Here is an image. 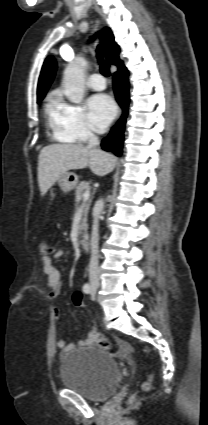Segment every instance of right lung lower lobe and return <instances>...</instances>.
I'll return each instance as SVG.
<instances>
[{
	"mask_svg": "<svg viewBox=\"0 0 208 425\" xmlns=\"http://www.w3.org/2000/svg\"><path fill=\"white\" fill-rule=\"evenodd\" d=\"M114 77V92L116 100L123 109V115L118 124L114 127V130L108 137L102 140L101 146L103 150L113 152L115 155L120 156L122 154L123 130L129 103L128 71L125 66L119 68V70L114 73Z\"/></svg>",
	"mask_w": 208,
	"mask_h": 425,
	"instance_id": "98d812e1",
	"label": "right lung lower lobe"
}]
</instances>
